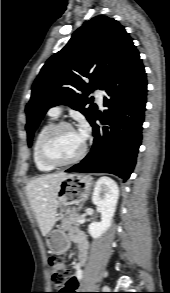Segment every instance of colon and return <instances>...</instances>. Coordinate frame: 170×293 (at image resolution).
I'll use <instances>...</instances> for the list:
<instances>
[{
	"instance_id": "5ec220e1",
	"label": "colon",
	"mask_w": 170,
	"mask_h": 293,
	"mask_svg": "<svg viewBox=\"0 0 170 293\" xmlns=\"http://www.w3.org/2000/svg\"><path fill=\"white\" fill-rule=\"evenodd\" d=\"M52 282L56 287V291L52 293H67V280L70 276V270L64 261L57 257L50 259Z\"/></svg>"
}]
</instances>
